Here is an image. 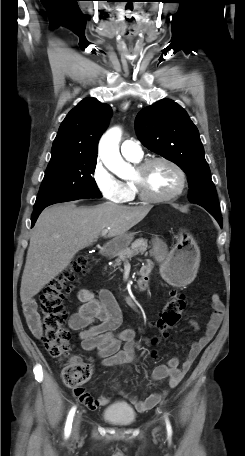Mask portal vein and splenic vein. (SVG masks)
<instances>
[{
  "label": "portal vein and splenic vein",
  "mask_w": 245,
  "mask_h": 456,
  "mask_svg": "<svg viewBox=\"0 0 245 456\" xmlns=\"http://www.w3.org/2000/svg\"><path fill=\"white\" fill-rule=\"evenodd\" d=\"M109 229V228H108ZM108 229H104L102 232H101V235L102 236H105L107 233H108Z\"/></svg>",
  "instance_id": "18ae733b"
}]
</instances>
